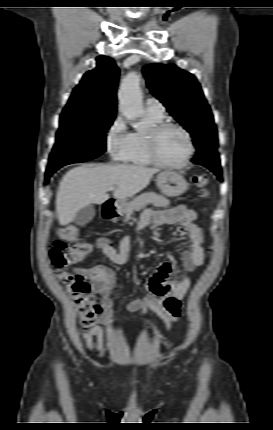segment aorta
<instances>
[{
	"instance_id": "aorta-1",
	"label": "aorta",
	"mask_w": 273,
	"mask_h": 430,
	"mask_svg": "<svg viewBox=\"0 0 273 430\" xmlns=\"http://www.w3.org/2000/svg\"><path fill=\"white\" fill-rule=\"evenodd\" d=\"M118 96L120 111L128 120L136 121L144 114L140 81L136 73H130L125 77L120 85ZM133 127L140 129L141 124L134 123Z\"/></svg>"
}]
</instances>
